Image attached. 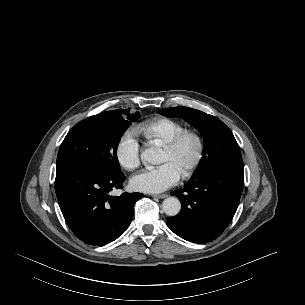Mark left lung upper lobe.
I'll return each instance as SVG.
<instances>
[{
	"mask_svg": "<svg viewBox=\"0 0 305 305\" xmlns=\"http://www.w3.org/2000/svg\"><path fill=\"white\" fill-rule=\"evenodd\" d=\"M162 115L182 117L193 125L204 140L203 157L194 174H199L227 159L241 157L237 141L230 129L218 118L188 107L160 109Z\"/></svg>",
	"mask_w": 305,
	"mask_h": 305,
	"instance_id": "1",
	"label": "left lung upper lobe"
}]
</instances>
